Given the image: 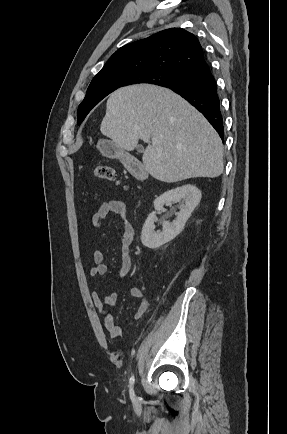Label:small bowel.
I'll return each mask as SVG.
<instances>
[{
    "label": "small bowel",
    "instance_id": "obj_1",
    "mask_svg": "<svg viewBox=\"0 0 287 434\" xmlns=\"http://www.w3.org/2000/svg\"><path fill=\"white\" fill-rule=\"evenodd\" d=\"M117 214L123 222V235L121 240L122 263L118 272V278L124 277L131 269V246L134 241V228L128 220V206L120 199H110L104 202L99 209L92 215L91 223L94 227L99 228L103 225L105 218L110 214ZM94 265L90 269L92 277L104 276L108 272L107 265L103 262V252L95 250L93 252ZM131 295L138 301V306L135 312V319H141L148 309V302L143 291L139 287L131 288ZM93 305L103 318L104 328L114 338L120 337L123 334V328L115 323L114 317L107 310V306L115 305L117 294L111 293L106 296L100 295L97 291L91 293Z\"/></svg>",
    "mask_w": 287,
    "mask_h": 434
}]
</instances>
